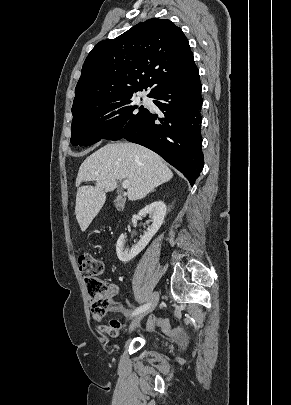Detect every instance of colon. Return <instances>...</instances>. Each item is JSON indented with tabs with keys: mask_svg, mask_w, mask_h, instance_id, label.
Wrapping results in <instances>:
<instances>
[{
	"mask_svg": "<svg viewBox=\"0 0 291 405\" xmlns=\"http://www.w3.org/2000/svg\"><path fill=\"white\" fill-rule=\"evenodd\" d=\"M79 270L84 279L88 296L90 298V309L93 315L103 316L110 307L109 298L110 285L101 278L104 270L102 261L90 253H82L78 258ZM165 334L179 337L182 331L178 327H172L169 320L164 317H152Z\"/></svg>",
	"mask_w": 291,
	"mask_h": 405,
	"instance_id": "obj_1",
	"label": "colon"
}]
</instances>
